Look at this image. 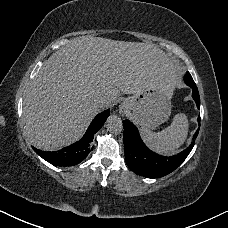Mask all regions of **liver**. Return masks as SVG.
Instances as JSON below:
<instances>
[{
  "label": "liver",
  "instance_id": "obj_1",
  "mask_svg": "<svg viewBox=\"0 0 228 228\" xmlns=\"http://www.w3.org/2000/svg\"><path fill=\"white\" fill-rule=\"evenodd\" d=\"M183 74L171 54L153 44L74 38L45 61L25 93L27 136L37 149H62L79 140L101 109L118 102L121 92L159 86L172 94ZM100 98L109 104L97 107Z\"/></svg>",
  "mask_w": 228,
  "mask_h": 228
}]
</instances>
